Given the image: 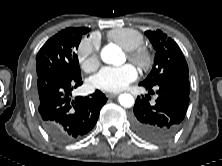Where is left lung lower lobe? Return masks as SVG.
<instances>
[{
  "instance_id": "left-lung-lower-lobe-1",
  "label": "left lung lower lobe",
  "mask_w": 222,
  "mask_h": 166,
  "mask_svg": "<svg viewBox=\"0 0 222 166\" xmlns=\"http://www.w3.org/2000/svg\"><path fill=\"white\" fill-rule=\"evenodd\" d=\"M142 85V84H140ZM152 92L158 89L156 103L138 97L131 117L133 131L142 139L162 144L171 140L180 130L189 104V78H167L155 86H145Z\"/></svg>"
}]
</instances>
